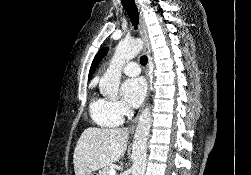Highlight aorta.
<instances>
[{
  "instance_id": "obj_1",
  "label": "aorta",
  "mask_w": 251,
  "mask_h": 175,
  "mask_svg": "<svg viewBox=\"0 0 251 175\" xmlns=\"http://www.w3.org/2000/svg\"><path fill=\"white\" fill-rule=\"evenodd\" d=\"M141 40H131V42H119L112 62L103 74L99 89L103 95L109 97H116L121 80V72L123 66L135 58L141 50ZM151 107H144L139 115L138 125L135 129V135L132 143V175H144L146 169V155H147V139L151 125Z\"/></svg>"
}]
</instances>
